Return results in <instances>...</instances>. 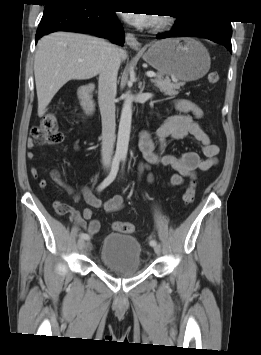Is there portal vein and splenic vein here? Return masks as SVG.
Segmentation results:
<instances>
[{
    "label": "portal vein and splenic vein",
    "mask_w": 261,
    "mask_h": 355,
    "mask_svg": "<svg viewBox=\"0 0 261 355\" xmlns=\"http://www.w3.org/2000/svg\"><path fill=\"white\" fill-rule=\"evenodd\" d=\"M146 75H147L148 77H155V76H156V74H155L154 72H152V71H148V72L146 73Z\"/></svg>",
    "instance_id": "1"
}]
</instances>
